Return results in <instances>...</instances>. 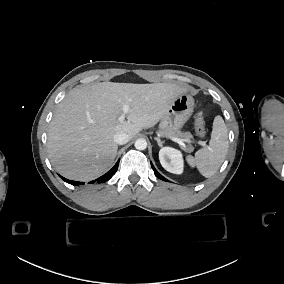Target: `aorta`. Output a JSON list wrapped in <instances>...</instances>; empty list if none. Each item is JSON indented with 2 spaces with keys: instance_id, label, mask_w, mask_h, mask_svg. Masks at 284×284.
I'll use <instances>...</instances> for the list:
<instances>
[{
  "instance_id": "762f6f07",
  "label": "aorta",
  "mask_w": 284,
  "mask_h": 284,
  "mask_svg": "<svg viewBox=\"0 0 284 284\" xmlns=\"http://www.w3.org/2000/svg\"><path fill=\"white\" fill-rule=\"evenodd\" d=\"M134 145L138 150H145L147 148V142L145 139L136 140Z\"/></svg>"
}]
</instances>
